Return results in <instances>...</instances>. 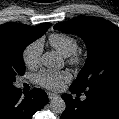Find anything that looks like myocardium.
Segmentation results:
<instances>
[{
  "label": "myocardium",
  "mask_w": 119,
  "mask_h": 119,
  "mask_svg": "<svg viewBox=\"0 0 119 119\" xmlns=\"http://www.w3.org/2000/svg\"><path fill=\"white\" fill-rule=\"evenodd\" d=\"M82 62V56L78 51L74 52L70 56H68V63L73 66H78Z\"/></svg>",
  "instance_id": "myocardium-1"
}]
</instances>
